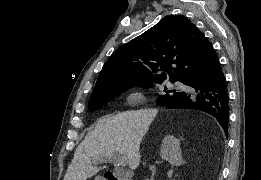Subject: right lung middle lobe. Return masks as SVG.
<instances>
[{"mask_svg":"<svg viewBox=\"0 0 261 180\" xmlns=\"http://www.w3.org/2000/svg\"><path fill=\"white\" fill-rule=\"evenodd\" d=\"M171 82H175V80H170ZM163 81H159L157 83H162ZM152 85V83H147V84H143V85H139L141 87H150ZM123 90L120 91H116L104 96H99L93 99H90L89 104H88V108L90 111H95L100 109L103 105H105L108 101L112 100L115 96H117L118 94H120ZM167 89L165 88L164 91H166ZM178 92H176L175 90H170V91H166L165 95H159L158 99H157V104H161L162 102L166 101L167 99H170L171 97H173L175 94H177Z\"/></svg>","mask_w":261,"mask_h":180,"instance_id":"obj_1","label":"right lung middle lobe"}]
</instances>
